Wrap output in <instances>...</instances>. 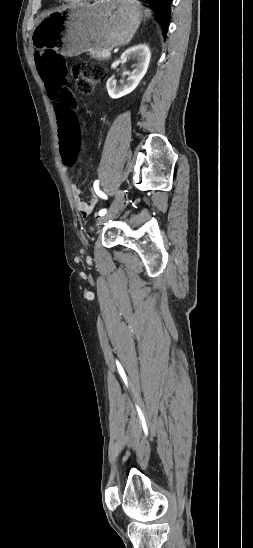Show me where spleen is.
<instances>
[{"label": "spleen", "instance_id": "3e777b00", "mask_svg": "<svg viewBox=\"0 0 253 548\" xmlns=\"http://www.w3.org/2000/svg\"><path fill=\"white\" fill-rule=\"evenodd\" d=\"M145 13H146L147 17L150 16V14H151L150 10H148V9L145 11Z\"/></svg>", "mask_w": 253, "mask_h": 548}]
</instances>
